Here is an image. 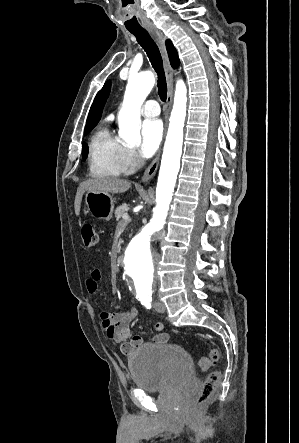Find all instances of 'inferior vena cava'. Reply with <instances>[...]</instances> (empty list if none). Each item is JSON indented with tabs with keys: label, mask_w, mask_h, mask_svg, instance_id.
<instances>
[{
	"label": "inferior vena cava",
	"mask_w": 299,
	"mask_h": 443,
	"mask_svg": "<svg viewBox=\"0 0 299 443\" xmlns=\"http://www.w3.org/2000/svg\"><path fill=\"white\" fill-rule=\"evenodd\" d=\"M137 164H138V167L142 166L144 164V159L138 158L137 159Z\"/></svg>",
	"instance_id": "602c4592"
}]
</instances>
